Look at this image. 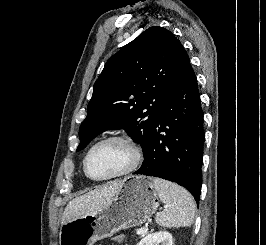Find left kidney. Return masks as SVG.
Masks as SVG:
<instances>
[{
    "label": "left kidney",
    "instance_id": "obj_1",
    "mask_svg": "<svg viewBox=\"0 0 266 245\" xmlns=\"http://www.w3.org/2000/svg\"><path fill=\"white\" fill-rule=\"evenodd\" d=\"M138 245H174V243L170 233H167V231H159V233L146 235Z\"/></svg>",
    "mask_w": 266,
    "mask_h": 245
}]
</instances>
